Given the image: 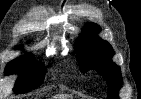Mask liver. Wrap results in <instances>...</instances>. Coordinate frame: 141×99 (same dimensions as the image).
Listing matches in <instances>:
<instances>
[{"mask_svg":"<svg viewBox=\"0 0 141 99\" xmlns=\"http://www.w3.org/2000/svg\"><path fill=\"white\" fill-rule=\"evenodd\" d=\"M54 99H73L71 95H67V94H60L55 96Z\"/></svg>","mask_w":141,"mask_h":99,"instance_id":"6515ba94","label":"liver"}]
</instances>
